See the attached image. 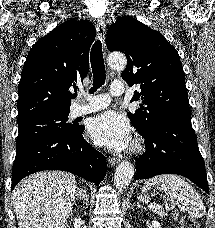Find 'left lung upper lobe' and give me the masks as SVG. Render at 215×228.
Segmentation results:
<instances>
[{
  "instance_id": "5c2ea615",
  "label": "left lung upper lobe",
  "mask_w": 215,
  "mask_h": 228,
  "mask_svg": "<svg viewBox=\"0 0 215 228\" xmlns=\"http://www.w3.org/2000/svg\"><path fill=\"white\" fill-rule=\"evenodd\" d=\"M106 42L109 51H121L127 58L121 77L129 86L140 85L131 102L145 106L128 117L143 137L161 121L191 117L179 54L161 33L123 16L108 29Z\"/></svg>"
}]
</instances>
